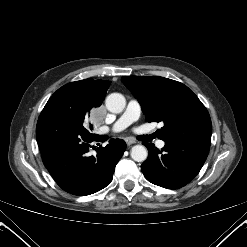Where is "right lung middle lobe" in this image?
I'll return each instance as SVG.
<instances>
[{
  "mask_svg": "<svg viewBox=\"0 0 247 247\" xmlns=\"http://www.w3.org/2000/svg\"><path fill=\"white\" fill-rule=\"evenodd\" d=\"M102 102L77 84H66L48 100L43 111H52L70 117L80 123L90 120L93 110ZM92 127V125H91Z\"/></svg>",
  "mask_w": 247,
  "mask_h": 247,
  "instance_id": "obj_1",
  "label": "right lung middle lobe"
}]
</instances>
